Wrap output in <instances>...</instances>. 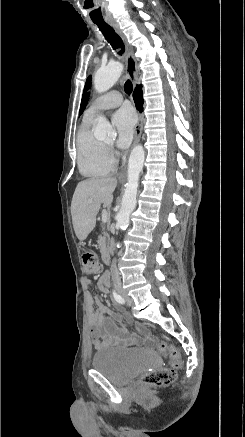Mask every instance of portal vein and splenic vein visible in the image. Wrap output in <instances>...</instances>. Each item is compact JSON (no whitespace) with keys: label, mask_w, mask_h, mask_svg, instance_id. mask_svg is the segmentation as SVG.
Returning <instances> with one entry per match:
<instances>
[{"label":"portal vein and splenic vein","mask_w":245,"mask_h":437,"mask_svg":"<svg viewBox=\"0 0 245 437\" xmlns=\"http://www.w3.org/2000/svg\"><path fill=\"white\" fill-rule=\"evenodd\" d=\"M89 202L91 203V202H92V199H89ZM108 219H109V214H108V212H107L106 210H103V212H102V221H103V222H107Z\"/></svg>","instance_id":"obj_1"}]
</instances>
